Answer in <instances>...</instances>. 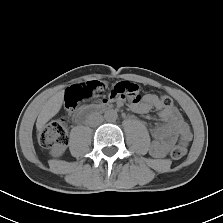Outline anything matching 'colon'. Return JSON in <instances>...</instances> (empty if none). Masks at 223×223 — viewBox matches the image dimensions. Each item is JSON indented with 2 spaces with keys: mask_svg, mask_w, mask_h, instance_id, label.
Returning a JSON list of instances; mask_svg holds the SVG:
<instances>
[{
  "mask_svg": "<svg viewBox=\"0 0 223 223\" xmlns=\"http://www.w3.org/2000/svg\"><path fill=\"white\" fill-rule=\"evenodd\" d=\"M106 92V87L98 81H89L86 83L75 84L69 87L65 94V105L69 111H73L81 102L101 96ZM139 98V87L129 81L116 83L109 91V98ZM160 104L163 107L172 105V99L169 96H162ZM39 145L45 148L63 146L67 142V130L63 122H49L37 135ZM187 152V140L180 139L172 146L170 154L174 159L182 158Z\"/></svg>",
  "mask_w": 223,
  "mask_h": 223,
  "instance_id": "5ec220e1",
  "label": "colon"
}]
</instances>
